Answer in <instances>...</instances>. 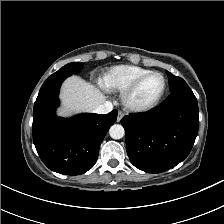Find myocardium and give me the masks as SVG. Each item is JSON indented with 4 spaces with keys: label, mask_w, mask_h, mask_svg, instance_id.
<instances>
[{
    "label": "myocardium",
    "mask_w": 224,
    "mask_h": 224,
    "mask_svg": "<svg viewBox=\"0 0 224 224\" xmlns=\"http://www.w3.org/2000/svg\"><path fill=\"white\" fill-rule=\"evenodd\" d=\"M152 75H160L164 80V86L160 94L150 103L147 104H136L133 102V96L135 95L136 91L139 89V87L142 85V83L149 78ZM168 87V80L166 76L159 71H151L148 72L139 78H137L125 91L122 92L121 95V101L125 109H127L130 112L134 113H142L149 111L153 108H155L162 98L164 97Z\"/></svg>",
    "instance_id": "1"
}]
</instances>
